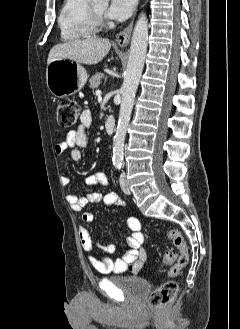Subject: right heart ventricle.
Instances as JSON below:
<instances>
[{
    "mask_svg": "<svg viewBox=\"0 0 240 329\" xmlns=\"http://www.w3.org/2000/svg\"><path fill=\"white\" fill-rule=\"evenodd\" d=\"M89 0H64L58 16L60 37L65 42L88 38L97 29L90 16Z\"/></svg>",
    "mask_w": 240,
    "mask_h": 329,
    "instance_id": "obj_1",
    "label": "right heart ventricle"
}]
</instances>
